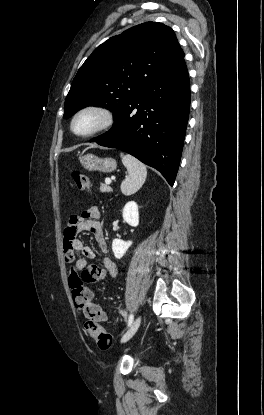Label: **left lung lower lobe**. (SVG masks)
Here are the masks:
<instances>
[{"label":"left lung lower lobe","instance_id":"1","mask_svg":"<svg viewBox=\"0 0 264 415\" xmlns=\"http://www.w3.org/2000/svg\"><path fill=\"white\" fill-rule=\"evenodd\" d=\"M190 109L184 59L147 85L116 116L110 131L91 140L127 152L157 169L172 186L179 168Z\"/></svg>","mask_w":264,"mask_h":415}]
</instances>
